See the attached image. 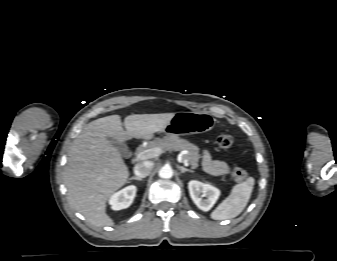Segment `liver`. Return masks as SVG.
I'll return each instance as SVG.
<instances>
[{
	"label": "liver",
	"instance_id": "1",
	"mask_svg": "<svg viewBox=\"0 0 337 261\" xmlns=\"http://www.w3.org/2000/svg\"><path fill=\"white\" fill-rule=\"evenodd\" d=\"M174 113L133 114L125 117L122 127L119 115L88 123L71 146L64 173L68 202L96 227L111 226L106 203L129 177L120 152L107 137L118 142L132 138L148 139L161 131Z\"/></svg>",
	"mask_w": 337,
	"mask_h": 261
}]
</instances>
